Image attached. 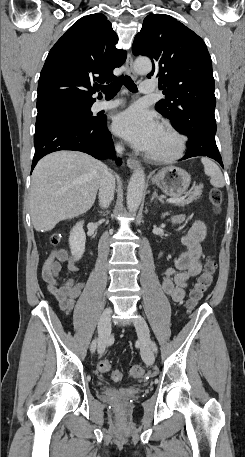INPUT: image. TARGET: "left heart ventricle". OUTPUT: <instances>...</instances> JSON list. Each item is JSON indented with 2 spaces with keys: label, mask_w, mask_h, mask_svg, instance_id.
Masks as SVG:
<instances>
[{
  "label": "left heart ventricle",
  "mask_w": 245,
  "mask_h": 457,
  "mask_svg": "<svg viewBox=\"0 0 245 457\" xmlns=\"http://www.w3.org/2000/svg\"><path fill=\"white\" fill-rule=\"evenodd\" d=\"M173 145V139L166 136L162 131L156 144L149 151H161L169 149Z\"/></svg>",
  "instance_id": "1"
}]
</instances>
